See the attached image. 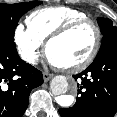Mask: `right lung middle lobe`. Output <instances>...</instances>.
Instances as JSON below:
<instances>
[{"label": "right lung middle lobe", "instance_id": "obj_1", "mask_svg": "<svg viewBox=\"0 0 117 117\" xmlns=\"http://www.w3.org/2000/svg\"><path fill=\"white\" fill-rule=\"evenodd\" d=\"M41 3V1L16 4L0 3V41L7 42L10 46L15 47L14 32L18 20L27 11Z\"/></svg>", "mask_w": 117, "mask_h": 117}]
</instances>
